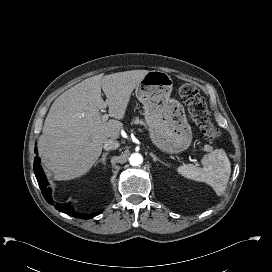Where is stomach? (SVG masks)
<instances>
[{
    "instance_id": "obj_1",
    "label": "stomach",
    "mask_w": 272,
    "mask_h": 272,
    "mask_svg": "<svg viewBox=\"0 0 272 272\" xmlns=\"http://www.w3.org/2000/svg\"><path fill=\"white\" fill-rule=\"evenodd\" d=\"M172 87L170 75L152 70L137 84L135 94L144 106L152 142L161 151L175 154L190 146L192 130L181 103L170 98Z\"/></svg>"
}]
</instances>
